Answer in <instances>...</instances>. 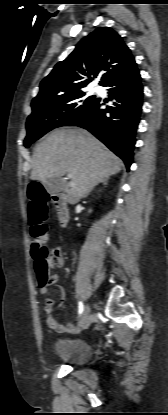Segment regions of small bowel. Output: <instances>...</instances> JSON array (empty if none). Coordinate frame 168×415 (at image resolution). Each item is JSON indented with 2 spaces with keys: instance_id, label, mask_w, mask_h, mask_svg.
Instances as JSON below:
<instances>
[{
  "instance_id": "small-bowel-1",
  "label": "small bowel",
  "mask_w": 168,
  "mask_h": 415,
  "mask_svg": "<svg viewBox=\"0 0 168 415\" xmlns=\"http://www.w3.org/2000/svg\"><path fill=\"white\" fill-rule=\"evenodd\" d=\"M52 256H53V261L55 262L56 265L58 266H63L64 265V257L62 254V251L59 247H55L52 249ZM58 279V276L56 274H53L51 276V280L53 282H55ZM61 292H62V300H61V305H63L64 303V292L63 290L60 288ZM40 293L42 295H47L48 293V288L46 286H41L40 287ZM52 306H53V301L51 299H46L45 300V305L43 307V311L46 315V323L47 325L52 328L55 329L57 331L63 332V331H68V330H72L74 327L72 325H64L59 323L52 315Z\"/></svg>"
}]
</instances>
